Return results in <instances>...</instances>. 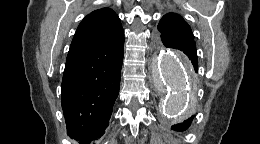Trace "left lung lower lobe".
<instances>
[{
    "instance_id": "obj_1",
    "label": "left lung lower lobe",
    "mask_w": 260,
    "mask_h": 144,
    "mask_svg": "<svg viewBox=\"0 0 260 144\" xmlns=\"http://www.w3.org/2000/svg\"><path fill=\"white\" fill-rule=\"evenodd\" d=\"M162 41L164 46L167 48H174L183 51V53L191 60L195 72H198V58L194 40L163 36ZM193 119L194 115L182 124L172 126V129L175 131H184L191 125Z\"/></svg>"
}]
</instances>
